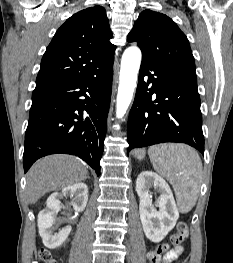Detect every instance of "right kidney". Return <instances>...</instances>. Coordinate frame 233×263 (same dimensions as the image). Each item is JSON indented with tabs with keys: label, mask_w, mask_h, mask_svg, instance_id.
Masks as SVG:
<instances>
[{
	"label": "right kidney",
	"mask_w": 233,
	"mask_h": 263,
	"mask_svg": "<svg viewBox=\"0 0 233 263\" xmlns=\"http://www.w3.org/2000/svg\"><path fill=\"white\" fill-rule=\"evenodd\" d=\"M67 197H74L71 204L75 212L83 211L88 201L87 185L79 182L63 188L61 193H52L46 201V208L38 214L39 234L43 244L49 249L59 247L71 232V226H66L56 232L58 225L62 222L61 219L56 218L62 208L60 199Z\"/></svg>",
	"instance_id": "obj_1"
}]
</instances>
